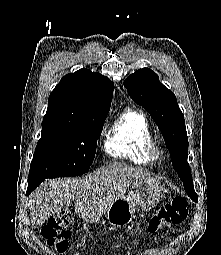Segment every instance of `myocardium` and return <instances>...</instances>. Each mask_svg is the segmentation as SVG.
I'll use <instances>...</instances> for the list:
<instances>
[{
	"label": "myocardium",
	"mask_w": 221,
	"mask_h": 255,
	"mask_svg": "<svg viewBox=\"0 0 221 255\" xmlns=\"http://www.w3.org/2000/svg\"><path fill=\"white\" fill-rule=\"evenodd\" d=\"M149 154H150L152 160L159 161L163 158L164 151L160 145H158L156 142H153L150 145Z\"/></svg>",
	"instance_id": "obj_1"
}]
</instances>
